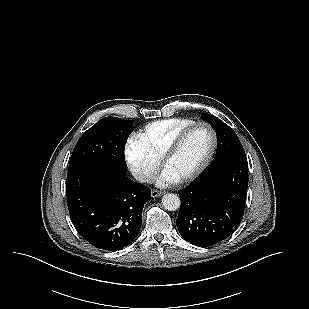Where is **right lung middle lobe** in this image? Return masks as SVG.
Returning <instances> with one entry per match:
<instances>
[{"instance_id": "obj_1", "label": "right lung middle lobe", "mask_w": 309, "mask_h": 309, "mask_svg": "<svg viewBox=\"0 0 309 309\" xmlns=\"http://www.w3.org/2000/svg\"><path fill=\"white\" fill-rule=\"evenodd\" d=\"M132 131V120L117 117L101 119L78 140L68 171L84 166H98L125 175L124 148Z\"/></svg>"}]
</instances>
